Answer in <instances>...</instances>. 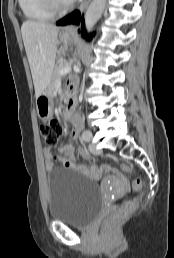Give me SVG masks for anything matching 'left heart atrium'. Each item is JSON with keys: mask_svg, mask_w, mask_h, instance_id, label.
Returning <instances> with one entry per match:
<instances>
[{"mask_svg": "<svg viewBox=\"0 0 174 258\" xmlns=\"http://www.w3.org/2000/svg\"><path fill=\"white\" fill-rule=\"evenodd\" d=\"M68 2H73V1H75V0H67Z\"/></svg>", "mask_w": 174, "mask_h": 258, "instance_id": "39dd6f15", "label": "left heart atrium"}]
</instances>
